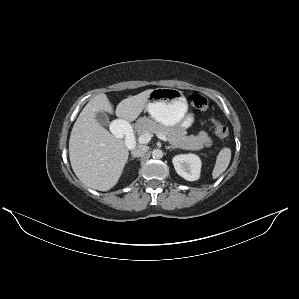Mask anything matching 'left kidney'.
<instances>
[{
  "instance_id": "1",
  "label": "left kidney",
  "mask_w": 299,
  "mask_h": 299,
  "mask_svg": "<svg viewBox=\"0 0 299 299\" xmlns=\"http://www.w3.org/2000/svg\"><path fill=\"white\" fill-rule=\"evenodd\" d=\"M172 162L177 174L185 180L195 181L200 177L201 160L197 155H176L173 157Z\"/></svg>"
}]
</instances>
